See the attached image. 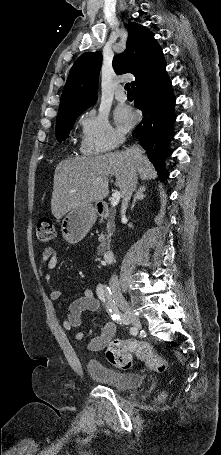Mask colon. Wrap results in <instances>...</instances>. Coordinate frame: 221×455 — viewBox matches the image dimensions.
Masks as SVG:
<instances>
[{
	"label": "colon",
	"mask_w": 221,
	"mask_h": 455,
	"mask_svg": "<svg viewBox=\"0 0 221 455\" xmlns=\"http://www.w3.org/2000/svg\"><path fill=\"white\" fill-rule=\"evenodd\" d=\"M56 235L54 221L51 217L41 218L35 229L36 240L40 243H49ZM132 354L145 362L147 367L155 371H164L167 368L166 361L154 351L148 342H139L133 339H112L107 344L106 359L112 365L130 369L133 367Z\"/></svg>",
	"instance_id": "obj_1"
}]
</instances>
